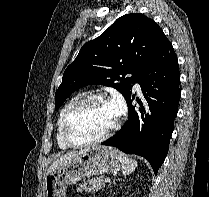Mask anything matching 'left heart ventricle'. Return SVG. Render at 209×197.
Here are the masks:
<instances>
[{"instance_id":"left-heart-ventricle-1","label":"left heart ventricle","mask_w":209,"mask_h":197,"mask_svg":"<svg viewBox=\"0 0 209 197\" xmlns=\"http://www.w3.org/2000/svg\"><path fill=\"white\" fill-rule=\"evenodd\" d=\"M115 120L109 102L92 103L74 116L70 125V134L78 141L95 138L107 131Z\"/></svg>"}]
</instances>
